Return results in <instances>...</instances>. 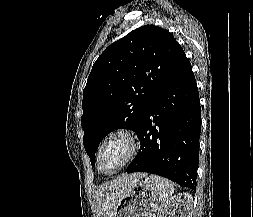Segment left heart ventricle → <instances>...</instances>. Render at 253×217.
<instances>
[{"mask_svg":"<svg viewBox=\"0 0 253 217\" xmlns=\"http://www.w3.org/2000/svg\"><path fill=\"white\" fill-rule=\"evenodd\" d=\"M127 146L123 140L117 139L109 143L102 152L100 169L104 173L113 171L124 159Z\"/></svg>","mask_w":253,"mask_h":217,"instance_id":"left-heart-ventricle-1","label":"left heart ventricle"}]
</instances>
